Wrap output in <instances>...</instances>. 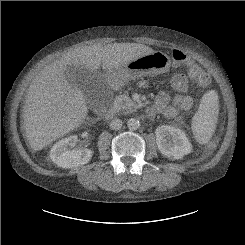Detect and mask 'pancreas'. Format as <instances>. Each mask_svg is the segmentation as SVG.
Listing matches in <instances>:
<instances>
[{
    "label": "pancreas",
    "mask_w": 245,
    "mask_h": 245,
    "mask_svg": "<svg viewBox=\"0 0 245 245\" xmlns=\"http://www.w3.org/2000/svg\"><path fill=\"white\" fill-rule=\"evenodd\" d=\"M114 105L117 111H125L127 113L134 112L138 108V105L126 94L117 96Z\"/></svg>",
    "instance_id": "cf45deb5"
}]
</instances>
